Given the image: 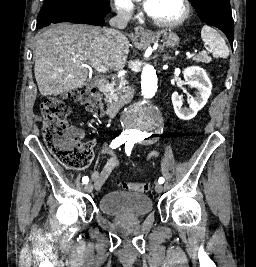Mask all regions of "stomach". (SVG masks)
<instances>
[{"label":"stomach","mask_w":256,"mask_h":267,"mask_svg":"<svg viewBox=\"0 0 256 267\" xmlns=\"http://www.w3.org/2000/svg\"><path fill=\"white\" fill-rule=\"evenodd\" d=\"M151 38H153V36H151ZM158 38H161V42H164V44L170 46V48L179 46V36L174 34V32H170V30H161L160 34H158Z\"/></svg>","instance_id":"obj_1"}]
</instances>
